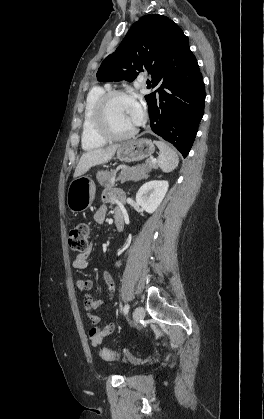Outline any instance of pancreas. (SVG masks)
Segmentation results:
<instances>
[{"instance_id": "pancreas-1", "label": "pancreas", "mask_w": 264, "mask_h": 419, "mask_svg": "<svg viewBox=\"0 0 264 419\" xmlns=\"http://www.w3.org/2000/svg\"><path fill=\"white\" fill-rule=\"evenodd\" d=\"M157 166L151 160H147L145 164L138 165L136 167H124L121 170V173L118 178L113 179V175L116 173L115 170H99L96 174V178L101 186H103L107 190H111L116 182L120 179L123 180H132L137 181L142 178H146L148 175L147 173L151 169H156Z\"/></svg>"}]
</instances>
